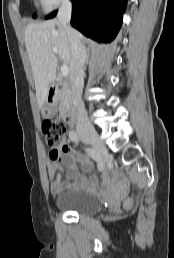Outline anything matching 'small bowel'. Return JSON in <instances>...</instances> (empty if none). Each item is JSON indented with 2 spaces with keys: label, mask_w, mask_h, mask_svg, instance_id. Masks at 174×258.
I'll return each instance as SVG.
<instances>
[{
  "label": "small bowel",
  "mask_w": 174,
  "mask_h": 258,
  "mask_svg": "<svg viewBox=\"0 0 174 258\" xmlns=\"http://www.w3.org/2000/svg\"><path fill=\"white\" fill-rule=\"evenodd\" d=\"M58 152V156L54 157V152ZM50 158L53 162L48 163L47 172L51 180L50 190L52 194H58L65 186H73L76 188L87 189L89 191L100 193L107 199H118L126 191L128 182L126 179H117L110 172H103L100 179L94 177L89 180L85 178L78 169L80 165L85 171L91 172L93 162L90 158L80 154L74 150L66 139H63L59 148L50 150ZM58 159V161H56ZM67 167V183L63 182L59 171ZM101 186V187H99Z\"/></svg>",
  "instance_id": "small-bowel-1"
}]
</instances>
